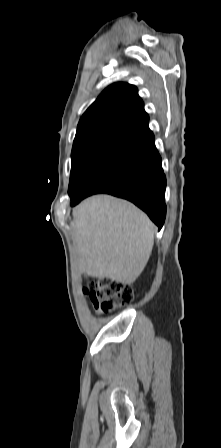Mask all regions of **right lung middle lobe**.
Returning <instances> with one entry per match:
<instances>
[{
	"label": "right lung middle lobe",
	"mask_w": 221,
	"mask_h": 448,
	"mask_svg": "<svg viewBox=\"0 0 221 448\" xmlns=\"http://www.w3.org/2000/svg\"><path fill=\"white\" fill-rule=\"evenodd\" d=\"M115 145L94 144L72 150L68 194L74 199L84 182Z\"/></svg>",
	"instance_id": "right-lung-middle-lobe-1"
}]
</instances>
